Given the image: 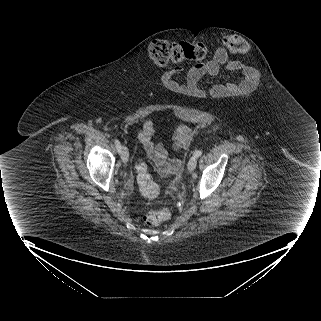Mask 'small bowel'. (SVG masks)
Wrapping results in <instances>:
<instances>
[{
    "instance_id": "obj_1",
    "label": "small bowel",
    "mask_w": 321,
    "mask_h": 321,
    "mask_svg": "<svg viewBox=\"0 0 321 321\" xmlns=\"http://www.w3.org/2000/svg\"><path fill=\"white\" fill-rule=\"evenodd\" d=\"M242 69L245 77L236 79L230 84L221 83L207 84L199 87L197 82L204 75H215L222 70ZM184 71L183 68H175L164 74V80L167 86L175 91H185L187 95L194 96L197 100H203L207 95H213L216 99L240 95L245 91L254 89L260 78L256 71L251 67L241 65L230 59L224 48L219 47L213 58L205 63L197 64L191 67L185 74L182 81L176 79V75ZM155 125L151 120H146L138 131V139L142 144L148 158L158 167L164 175L176 173L181 168V160L178 158H169L166 148L154 142ZM193 132L186 125L178 126L173 134L172 141L174 149H185L190 145Z\"/></svg>"
}]
</instances>
